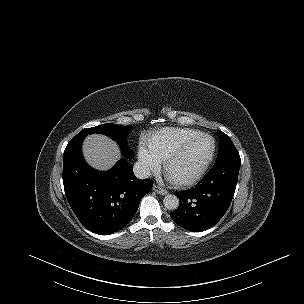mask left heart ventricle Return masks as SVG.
Segmentation results:
<instances>
[{"label": "left heart ventricle", "instance_id": "obj_1", "mask_svg": "<svg viewBox=\"0 0 304 304\" xmlns=\"http://www.w3.org/2000/svg\"><path fill=\"white\" fill-rule=\"evenodd\" d=\"M211 149L212 140L210 138H202L194 143L173 162L170 168L171 177L178 179L193 175L206 161Z\"/></svg>", "mask_w": 304, "mask_h": 304}]
</instances>
